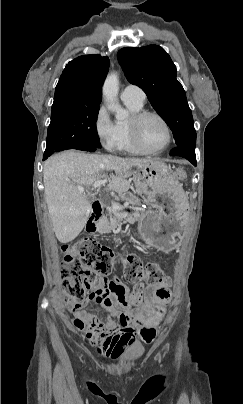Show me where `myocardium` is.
I'll return each mask as SVG.
<instances>
[{"label": "myocardium", "instance_id": "myocardium-1", "mask_svg": "<svg viewBox=\"0 0 243 404\" xmlns=\"http://www.w3.org/2000/svg\"><path fill=\"white\" fill-rule=\"evenodd\" d=\"M150 115L157 116L159 119H161L163 121V123L165 124L167 131H168V140H167L166 144L159 149H152V148L147 147L141 141L139 134H138L139 124L142 122V120L144 118H146L147 116H150ZM127 128H128V131H129V134H130V137H131L133 143L139 149L144 151L145 153H149V154L161 153V152L165 151L166 149H168L173 141V129H172L170 122L162 113H160L159 111H156V110L142 109L138 113L132 115V117L128 121Z\"/></svg>", "mask_w": 243, "mask_h": 404}]
</instances>
